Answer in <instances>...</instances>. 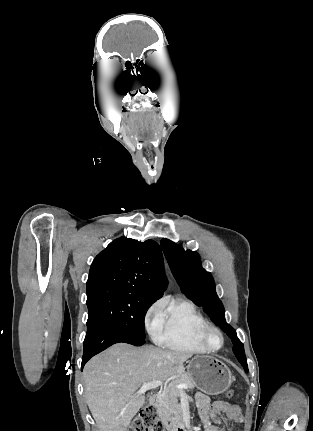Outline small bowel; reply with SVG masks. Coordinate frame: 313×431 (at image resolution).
Wrapping results in <instances>:
<instances>
[{"mask_svg":"<svg viewBox=\"0 0 313 431\" xmlns=\"http://www.w3.org/2000/svg\"><path fill=\"white\" fill-rule=\"evenodd\" d=\"M195 399L204 431H220L218 425L222 421L239 422L242 419L241 410L235 405L223 401L211 404L209 397L203 393H197ZM221 412L224 413V418L218 417Z\"/></svg>","mask_w":313,"mask_h":431,"instance_id":"small-bowel-1","label":"small bowel"}]
</instances>
